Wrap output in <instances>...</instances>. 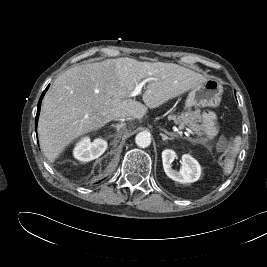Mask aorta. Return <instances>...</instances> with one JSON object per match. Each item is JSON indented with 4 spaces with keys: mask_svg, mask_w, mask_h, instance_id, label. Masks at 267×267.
<instances>
[{
    "mask_svg": "<svg viewBox=\"0 0 267 267\" xmlns=\"http://www.w3.org/2000/svg\"><path fill=\"white\" fill-rule=\"evenodd\" d=\"M135 143L140 148H146L151 144V137L147 132H140L135 137Z\"/></svg>",
    "mask_w": 267,
    "mask_h": 267,
    "instance_id": "aorta-1",
    "label": "aorta"
}]
</instances>
